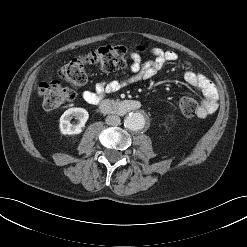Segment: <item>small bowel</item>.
Returning a JSON list of instances; mask_svg holds the SVG:
<instances>
[{
    "label": "small bowel",
    "instance_id": "small-bowel-1",
    "mask_svg": "<svg viewBox=\"0 0 247 247\" xmlns=\"http://www.w3.org/2000/svg\"><path fill=\"white\" fill-rule=\"evenodd\" d=\"M151 54L154 59L145 63H142L139 56L135 55L127 77L120 80L99 82L95 85L94 90L84 91L82 99L88 103H97L106 94H112L134 83L154 78L166 63L178 60V54L171 50L154 48ZM184 79L189 86L196 89L202 96L198 117L204 118L214 113L217 108L218 91L213 82L205 75L192 69L185 70Z\"/></svg>",
    "mask_w": 247,
    "mask_h": 247
}]
</instances>
